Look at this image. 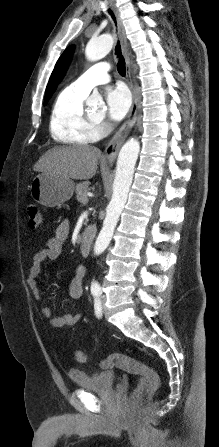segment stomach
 <instances>
[{"label":"stomach","instance_id":"stomach-1","mask_svg":"<svg viewBox=\"0 0 219 447\" xmlns=\"http://www.w3.org/2000/svg\"><path fill=\"white\" fill-rule=\"evenodd\" d=\"M74 188L75 184L71 179L42 172L33 178L30 193L37 203L46 207H55L69 200L74 193Z\"/></svg>","mask_w":219,"mask_h":447}]
</instances>
